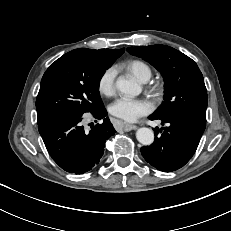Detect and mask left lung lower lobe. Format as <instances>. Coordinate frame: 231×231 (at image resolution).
<instances>
[{
  "label": "left lung lower lobe",
  "instance_id": "1",
  "mask_svg": "<svg viewBox=\"0 0 231 231\" xmlns=\"http://www.w3.org/2000/svg\"><path fill=\"white\" fill-rule=\"evenodd\" d=\"M149 119H159L162 125L167 123L168 126L154 129L155 141L141 148L142 156L150 165L163 172L183 167L195 153L206 122L184 115L163 118L150 115Z\"/></svg>",
  "mask_w": 231,
  "mask_h": 231
}]
</instances>
